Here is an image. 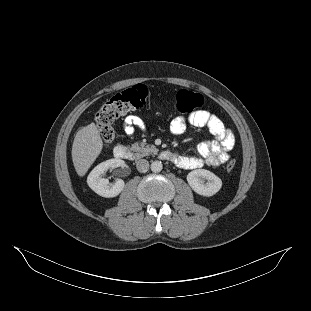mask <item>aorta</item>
Instances as JSON below:
<instances>
[{
    "instance_id": "762f6f07",
    "label": "aorta",
    "mask_w": 311,
    "mask_h": 311,
    "mask_svg": "<svg viewBox=\"0 0 311 311\" xmlns=\"http://www.w3.org/2000/svg\"><path fill=\"white\" fill-rule=\"evenodd\" d=\"M163 168V164L159 160H155L151 163V170L153 172H160Z\"/></svg>"
}]
</instances>
